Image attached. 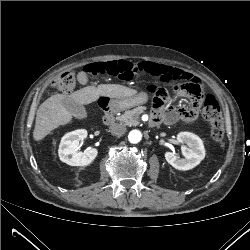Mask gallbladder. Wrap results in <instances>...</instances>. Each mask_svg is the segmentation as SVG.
<instances>
[{"mask_svg":"<svg viewBox=\"0 0 250 250\" xmlns=\"http://www.w3.org/2000/svg\"><path fill=\"white\" fill-rule=\"evenodd\" d=\"M62 105L71 115L78 119H84L87 117L85 107L71 98H63Z\"/></svg>","mask_w":250,"mask_h":250,"instance_id":"1","label":"gallbladder"}]
</instances>
